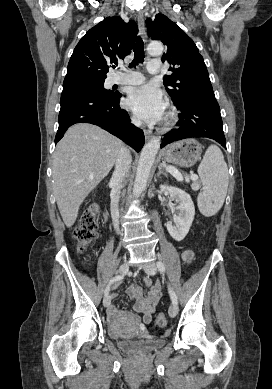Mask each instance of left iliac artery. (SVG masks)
<instances>
[{"instance_id":"left-iliac-artery-1","label":"left iliac artery","mask_w":272,"mask_h":389,"mask_svg":"<svg viewBox=\"0 0 272 389\" xmlns=\"http://www.w3.org/2000/svg\"><path fill=\"white\" fill-rule=\"evenodd\" d=\"M157 268L160 271V273L164 274V272H165V265L163 264V262L158 261L157 262ZM168 290H169V294H170L172 303L177 305V296H176L175 292L173 291V289L170 286H168Z\"/></svg>"}]
</instances>
